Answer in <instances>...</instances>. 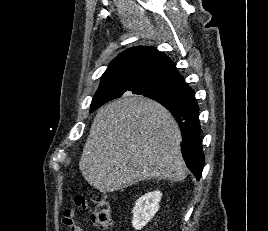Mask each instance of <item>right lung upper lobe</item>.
Returning a JSON list of instances; mask_svg holds the SVG:
<instances>
[{"label": "right lung upper lobe", "mask_w": 268, "mask_h": 231, "mask_svg": "<svg viewBox=\"0 0 268 231\" xmlns=\"http://www.w3.org/2000/svg\"><path fill=\"white\" fill-rule=\"evenodd\" d=\"M101 78L100 86L93 97L92 103L104 104L122 96V94L115 95L99 101L101 93L106 88L128 90L132 86L145 81L168 84L194 94L192 89L186 87L184 78L178 73L173 61L156 48L149 46H138L125 50L110 63ZM160 103L162 105L172 104L168 101H160Z\"/></svg>", "instance_id": "obj_1"}]
</instances>
